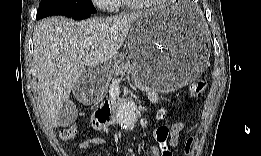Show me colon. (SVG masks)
<instances>
[{"mask_svg": "<svg viewBox=\"0 0 261 156\" xmlns=\"http://www.w3.org/2000/svg\"><path fill=\"white\" fill-rule=\"evenodd\" d=\"M205 86L206 83L203 80H198L193 82L188 90V99L199 97L204 91ZM110 117H111L110 106L108 103H105L104 105L100 106L95 112L92 118V126L96 130L99 131L103 130L109 125ZM77 135H78V130L73 126L64 128L61 131V138L64 140L75 139ZM168 137H169V130L167 127H161L156 132V138L158 142L161 143L162 145H164V143L168 140ZM191 144H192V139H189L185 147L187 153L190 151ZM164 150L167 154L169 153L166 149Z\"/></svg>", "mask_w": 261, "mask_h": 156, "instance_id": "colon-1", "label": "colon"}]
</instances>
